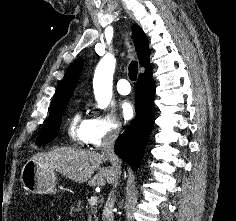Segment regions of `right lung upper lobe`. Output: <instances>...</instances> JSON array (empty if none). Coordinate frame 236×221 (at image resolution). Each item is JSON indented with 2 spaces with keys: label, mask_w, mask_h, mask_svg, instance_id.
<instances>
[{
  "label": "right lung upper lobe",
  "mask_w": 236,
  "mask_h": 221,
  "mask_svg": "<svg viewBox=\"0 0 236 221\" xmlns=\"http://www.w3.org/2000/svg\"><path fill=\"white\" fill-rule=\"evenodd\" d=\"M132 36L140 65L145 68V72L150 71V50L146 35L139 26L133 25ZM83 63V60L79 59L69 66L53 97L51 108L70 100L82 71Z\"/></svg>",
  "instance_id": "obj_1"
}]
</instances>
